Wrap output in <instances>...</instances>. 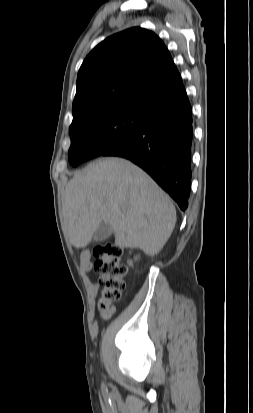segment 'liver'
Instances as JSON below:
<instances>
[{
  "instance_id": "1",
  "label": "liver",
  "mask_w": 253,
  "mask_h": 413,
  "mask_svg": "<svg viewBox=\"0 0 253 413\" xmlns=\"http://www.w3.org/2000/svg\"><path fill=\"white\" fill-rule=\"evenodd\" d=\"M63 215L71 244L86 247L98 226L112 227L115 245L160 252L176 223L169 196L142 169L122 158H101L69 181Z\"/></svg>"
}]
</instances>
